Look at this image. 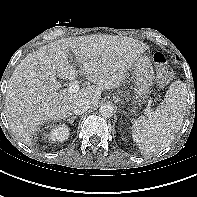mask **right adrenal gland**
<instances>
[{"mask_svg":"<svg viewBox=\"0 0 197 197\" xmlns=\"http://www.w3.org/2000/svg\"><path fill=\"white\" fill-rule=\"evenodd\" d=\"M76 118V116H72L71 118L68 119L69 122L73 123L74 119Z\"/></svg>","mask_w":197,"mask_h":197,"instance_id":"1","label":"right adrenal gland"}]
</instances>
